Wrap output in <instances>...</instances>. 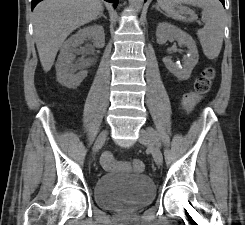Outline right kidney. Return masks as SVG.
<instances>
[{
  "mask_svg": "<svg viewBox=\"0 0 245 225\" xmlns=\"http://www.w3.org/2000/svg\"><path fill=\"white\" fill-rule=\"evenodd\" d=\"M87 38L93 40V44L97 48L105 45V33L101 25H93L80 29L76 34L66 40L61 48L56 63V75L60 84L67 88H76L87 76V71L83 68L85 63L80 60L75 64V51ZM80 69L81 71L76 73Z\"/></svg>",
  "mask_w": 245,
  "mask_h": 225,
  "instance_id": "ca27d5eb",
  "label": "right kidney"
}]
</instances>
